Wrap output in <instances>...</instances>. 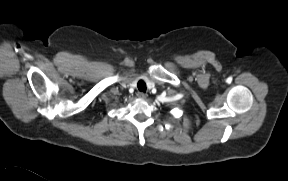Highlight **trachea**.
Listing matches in <instances>:
<instances>
[{
    "mask_svg": "<svg viewBox=\"0 0 288 181\" xmlns=\"http://www.w3.org/2000/svg\"><path fill=\"white\" fill-rule=\"evenodd\" d=\"M139 91L146 92V83L143 80H140L137 84Z\"/></svg>",
    "mask_w": 288,
    "mask_h": 181,
    "instance_id": "obj_1",
    "label": "trachea"
}]
</instances>
